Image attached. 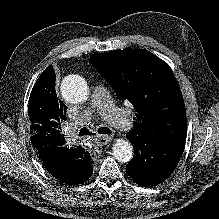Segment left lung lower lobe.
Returning <instances> with one entry per match:
<instances>
[{
  "mask_svg": "<svg viewBox=\"0 0 219 219\" xmlns=\"http://www.w3.org/2000/svg\"><path fill=\"white\" fill-rule=\"evenodd\" d=\"M135 149L126 166L128 175L144 187L156 186L166 180L176 168L184 147L169 146L156 140L126 134Z\"/></svg>",
  "mask_w": 219,
  "mask_h": 219,
  "instance_id": "1",
  "label": "left lung lower lobe"
}]
</instances>
